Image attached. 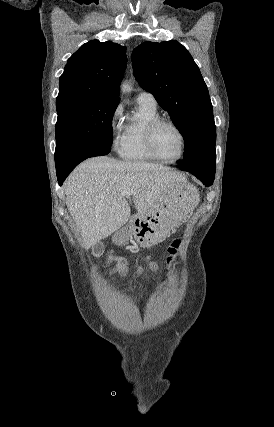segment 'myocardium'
<instances>
[{
    "label": "myocardium",
    "instance_id": "1",
    "mask_svg": "<svg viewBox=\"0 0 274 427\" xmlns=\"http://www.w3.org/2000/svg\"><path fill=\"white\" fill-rule=\"evenodd\" d=\"M161 125L171 126L172 128H174L178 132V134L180 136L181 153H180V156L175 160H167V159L163 158L156 149L155 134H156L158 127H160ZM145 144H146V148H147L148 152L157 161H160V162L166 163V164L179 163L183 160V158L186 154L187 143H186V137H185L184 132L175 122H173L172 120L166 119V118H157V119H154L153 121H151L149 123V125L147 126L146 131H145Z\"/></svg>",
    "mask_w": 274,
    "mask_h": 427
}]
</instances>
